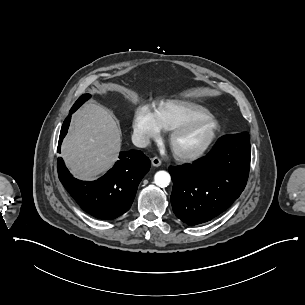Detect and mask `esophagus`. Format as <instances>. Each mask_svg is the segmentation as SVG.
Masks as SVG:
<instances>
[{
    "label": "esophagus",
    "mask_w": 305,
    "mask_h": 305,
    "mask_svg": "<svg viewBox=\"0 0 305 305\" xmlns=\"http://www.w3.org/2000/svg\"><path fill=\"white\" fill-rule=\"evenodd\" d=\"M152 164L155 167H159L162 164V162H161L160 158L154 157V158H152Z\"/></svg>",
    "instance_id": "34e87169"
}]
</instances>
